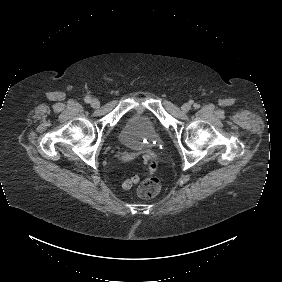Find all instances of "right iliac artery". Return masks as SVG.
Wrapping results in <instances>:
<instances>
[{
	"mask_svg": "<svg viewBox=\"0 0 282 282\" xmlns=\"http://www.w3.org/2000/svg\"><path fill=\"white\" fill-rule=\"evenodd\" d=\"M84 101H85L86 103H90V102H91V98L87 96V97H85Z\"/></svg>",
	"mask_w": 282,
	"mask_h": 282,
	"instance_id": "1",
	"label": "right iliac artery"
}]
</instances>
